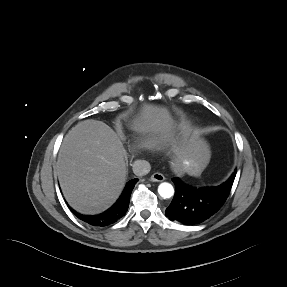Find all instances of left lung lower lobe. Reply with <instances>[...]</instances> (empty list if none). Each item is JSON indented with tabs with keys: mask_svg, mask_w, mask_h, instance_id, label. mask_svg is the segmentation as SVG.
<instances>
[{
	"mask_svg": "<svg viewBox=\"0 0 287 287\" xmlns=\"http://www.w3.org/2000/svg\"><path fill=\"white\" fill-rule=\"evenodd\" d=\"M236 176L231 177L218 187L195 188L173 178L176 192L166 209V216L183 224L194 225L216 213L226 201Z\"/></svg>",
	"mask_w": 287,
	"mask_h": 287,
	"instance_id": "0a47b994",
	"label": "left lung lower lobe"
}]
</instances>
